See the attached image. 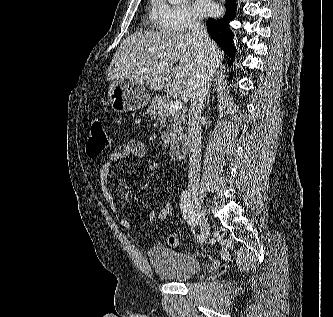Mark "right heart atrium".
Here are the masks:
<instances>
[{
	"mask_svg": "<svg viewBox=\"0 0 333 317\" xmlns=\"http://www.w3.org/2000/svg\"><path fill=\"white\" fill-rule=\"evenodd\" d=\"M155 22L165 32H184L199 25L188 3L172 5L166 0H156Z\"/></svg>",
	"mask_w": 333,
	"mask_h": 317,
	"instance_id": "d8ad5b80",
	"label": "right heart atrium"
}]
</instances>
